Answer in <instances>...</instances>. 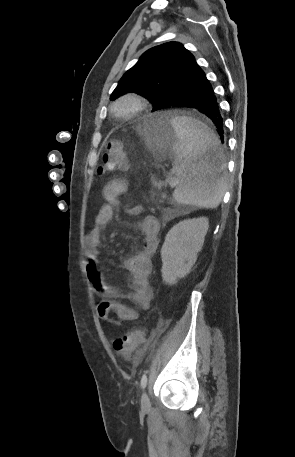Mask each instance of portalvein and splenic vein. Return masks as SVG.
Masks as SVG:
<instances>
[{
	"label": "portal vein and splenic vein",
	"instance_id": "18ae733b",
	"mask_svg": "<svg viewBox=\"0 0 295 457\" xmlns=\"http://www.w3.org/2000/svg\"><path fill=\"white\" fill-rule=\"evenodd\" d=\"M168 180H169L172 184H174V181H175V180H174L173 178L168 177Z\"/></svg>",
	"mask_w": 295,
	"mask_h": 457
}]
</instances>
